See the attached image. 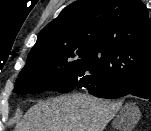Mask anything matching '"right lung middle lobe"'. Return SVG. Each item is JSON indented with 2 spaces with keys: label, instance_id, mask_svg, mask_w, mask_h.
<instances>
[{
  "label": "right lung middle lobe",
  "instance_id": "1",
  "mask_svg": "<svg viewBox=\"0 0 151 131\" xmlns=\"http://www.w3.org/2000/svg\"><path fill=\"white\" fill-rule=\"evenodd\" d=\"M79 80H107L95 59L83 48L73 43L33 47L13 92L26 94L53 90L67 93L76 88Z\"/></svg>",
  "mask_w": 151,
  "mask_h": 131
}]
</instances>
